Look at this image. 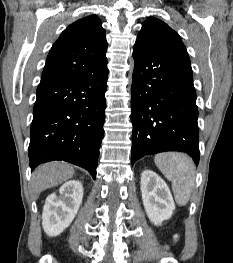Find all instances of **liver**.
Listing matches in <instances>:
<instances>
[{"instance_id": "6515ba94", "label": "liver", "mask_w": 233, "mask_h": 263, "mask_svg": "<svg viewBox=\"0 0 233 263\" xmlns=\"http://www.w3.org/2000/svg\"><path fill=\"white\" fill-rule=\"evenodd\" d=\"M73 174V167L66 163L51 162L43 164L36 168L32 174V190L34 193L39 194L43 190L55 187L69 180Z\"/></svg>"}]
</instances>
